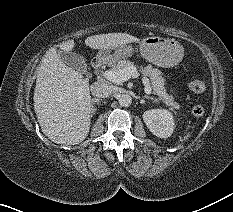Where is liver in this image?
I'll list each match as a JSON object with an SVG mask.
<instances>
[{
	"label": "liver",
	"instance_id": "obj_1",
	"mask_svg": "<svg viewBox=\"0 0 233 212\" xmlns=\"http://www.w3.org/2000/svg\"><path fill=\"white\" fill-rule=\"evenodd\" d=\"M137 41L127 33H108L87 37L85 44L108 49ZM74 45V40H68L58 47L69 52ZM33 100L41 130L51 141L74 145L87 137L92 117L89 82L61 60L56 47L46 52L37 67Z\"/></svg>",
	"mask_w": 233,
	"mask_h": 212
}]
</instances>
